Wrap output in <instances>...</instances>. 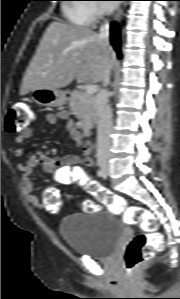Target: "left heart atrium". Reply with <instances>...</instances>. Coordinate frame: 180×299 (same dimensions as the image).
I'll list each match as a JSON object with an SVG mask.
<instances>
[{"label":"left heart atrium","instance_id":"obj_1","mask_svg":"<svg viewBox=\"0 0 180 299\" xmlns=\"http://www.w3.org/2000/svg\"><path fill=\"white\" fill-rule=\"evenodd\" d=\"M115 8V4H111V3H109V4H105V9L107 10V11H111V10H113Z\"/></svg>","mask_w":180,"mask_h":299}]
</instances>
